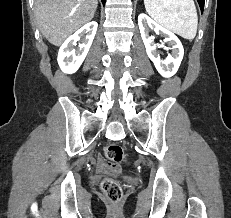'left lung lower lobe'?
I'll list each match as a JSON object with an SVG mask.
<instances>
[{"mask_svg":"<svg viewBox=\"0 0 231 218\" xmlns=\"http://www.w3.org/2000/svg\"><path fill=\"white\" fill-rule=\"evenodd\" d=\"M199 5H200V9H201V12H203V8H204V0H197Z\"/></svg>","mask_w":231,"mask_h":218,"instance_id":"0a47b994","label":"left lung lower lobe"}]
</instances>
